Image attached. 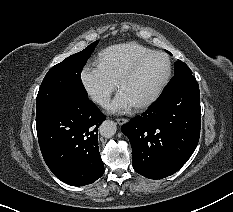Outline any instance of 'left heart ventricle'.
Returning <instances> with one entry per match:
<instances>
[{
    "mask_svg": "<svg viewBox=\"0 0 233 212\" xmlns=\"http://www.w3.org/2000/svg\"><path fill=\"white\" fill-rule=\"evenodd\" d=\"M167 71V62L163 56L155 55L148 58L135 75L123 84V91L136 105L148 98L160 84Z\"/></svg>",
    "mask_w": 233,
    "mask_h": 212,
    "instance_id": "left-heart-ventricle-1",
    "label": "left heart ventricle"
}]
</instances>
